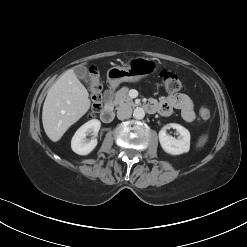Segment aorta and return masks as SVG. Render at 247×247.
<instances>
[{
    "mask_svg": "<svg viewBox=\"0 0 247 247\" xmlns=\"http://www.w3.org/2000/svg\"><path fill=\"white\" fill-rule=\"evenodd\" d=\"M133 116L135 119H143L145 117V111L141 107H137L134 109Z\"/></svg>",
    "mask_w": 247,
    "mask_h": 247,
    "instance_id": "762f6f07",
    "label": "aorta"
}]
</instances>
